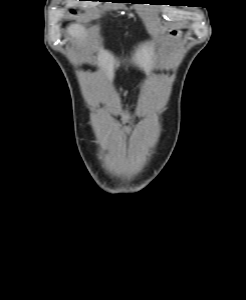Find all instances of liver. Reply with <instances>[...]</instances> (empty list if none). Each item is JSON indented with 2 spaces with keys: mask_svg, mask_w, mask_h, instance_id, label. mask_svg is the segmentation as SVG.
<instances>
[{
  "mask_svg": "<svg viewBox=\"0 0 246 300\" xmlns=\"http://www.w3.org/2000/svg\"><path fill=\"white\" fill-rule=\"evenodd\" d=\"M68 34L82 42L87 38L85 27L79 23H73L68 27ZM154 45L152 43H142L135 49L131 62L150 73L155 66ZM119 61L108 51L100 49L97 57V65L105 72L107 78L112 81L114 70L119 66Z\"/></svg>",
  "mask_w": 246,
  "mask_h": 300,
  "instance_id": "liver-1",
  "label": "liver"
}]
</instances>
